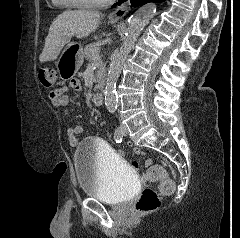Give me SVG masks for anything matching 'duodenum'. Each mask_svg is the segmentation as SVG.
Here are the masks:
<instances>
[{
  "mask_svg": "<svg viewBox=\"0 0 240 238\" xmlns=\"http://www.w3.org/2000/svg\"><path fill=\"white\" fill-rule=\"evenodd\" d=\"M104 101V94L102 89H99L93 96V102L95 105H101Z\"/></svg>",
  "mask_w": 240,
  "mask_h": 238,
  "instance_id": "1",
  "label": "duodenum"
}]
</instances>
